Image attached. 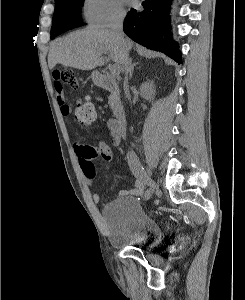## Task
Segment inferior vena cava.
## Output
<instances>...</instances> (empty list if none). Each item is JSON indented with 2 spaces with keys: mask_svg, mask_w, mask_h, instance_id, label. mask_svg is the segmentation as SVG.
I'll use <instances>...</instances> for the list:
<instances>
[{
  "mask_svg": "<svg viewBox=\"0 0 245 300\" xmlns=\"http://www.w3.org/2000/svg\"><path fill=\"white\" fill-rule=\"evenodd\" d=\"M124 18H125L124 13H119L118 15H116L112 22L111 30L114 32V34L122 44L123 53H124L123 65H124L125 74L127 75L129 71V47H128V41L124 38V33H123Z\"/></svg>",
  "mask_w": 245,
  "mask_h": 300,
  "instance_id": "602c4592",
  "label": "inferior vena cava"
}]
</instances>
